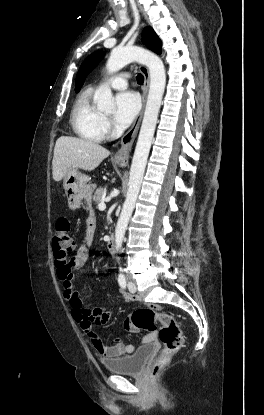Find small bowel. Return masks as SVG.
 <instances>
[{"label": "small bowel", "mask_w": 264, "mask_h": 415, "mask_svg": "<svg viewBox=\"0 0 264 415\" xmlns=\"http://www.w3.org/2000/svg\"><path fill=\"white\" fill-rule=\"evenodd\" d=\"M94 218L95 226H92L91 220ZM96 228L95 216H90L86 221L87 241L78 247L75 256L67 259L60 258L55 253V263L58 270V277L63 284V297L67 301L73 319L79 324L83 333H85L94 344L97 351L105 358H116L132 353L135 350L133 344H125L118 340L114 344L103 342L93 329L94 320L100 318L101 321L108 322L112 317V307L104 306L100 311L90 312L82 302L80 291L75 289L72 279V272L81 269L88 261L91 253L92 239ZM125 302H133L134 296L122 292ZM125 328L132 333H138L141 328L133 325L129 321V317L125 320ZM154 331L145 336L141 343H148L154 339Z\"/></svg>", "instance_id": "1"}]
</instances>
